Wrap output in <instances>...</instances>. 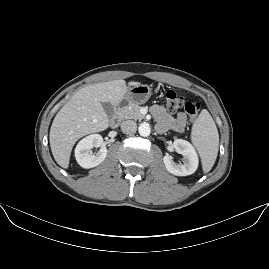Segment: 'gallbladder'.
Instances as JSON below:
<instances>
[{"label":"gallbladder","instance_id":"bac80fb5","mask_svg":"<svg viewBox=\"0 0 269 269\" xmlns=\"http://www.w3.org/2000/svg\"><path fill=\"white\" fill-rule=\"evenodd\" d=\"M102 107L108 117L113 116L114 106L110 102H102Z\"/></svg>","mask_w":269,"mask_h":269}]
</instances>
